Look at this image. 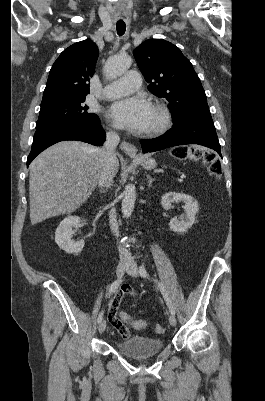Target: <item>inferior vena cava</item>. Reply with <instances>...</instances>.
Returning a JSON list of instances; mask_svg holds the SVG:
<instances>
[{"mask_svg": "<svg viewBox=\"0 0 265 401\" xmlns=\"http://www.w3.org/2000/svg\"><path fill=\"white\" fill-rule=\"evenodd\" d=\"M120 136L117 132H107L106 142L103 148L104 168L99 176V186H112L114 176V162L116 158L115 148L119 144ZM110 229L115 233V237H119V227L116 219L115 209H111L109 213ZM120 259H131V253L124 247H118Z\"/></svg>", "mask_w": 265, "mask_h": 401, "instance_id": "obj_1", "label": "inferior vena cava"}]
</instances>
